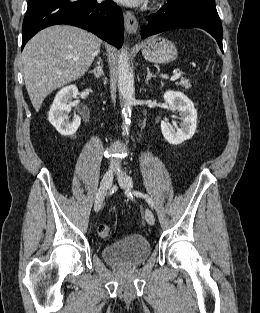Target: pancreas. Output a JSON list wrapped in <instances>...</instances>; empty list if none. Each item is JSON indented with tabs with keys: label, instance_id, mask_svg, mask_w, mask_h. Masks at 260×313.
Masks as SVG:
<instances>
[{
	"label": "pancreas",
	"instance_id": "pancreas-1",
	"mask_svg": "<svg viewBox=\"0 0 260 313\" xmlns=\"http://www.w3.org/2000/svg\"><path fill=\"white\" fill-rule=\"evenodd\" d=\"M176 85H180L181 87H184L185 89H189L191 87V83L186 78H181L179 82H176Z\"/></svg>",
	"mask_w": 260,
	"mask_h": 313
}]
</instances>
